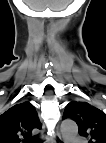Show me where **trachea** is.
<instances>
[{
	"instance_id": "3493384b",
	"label": "trachea",
	"mask_w": 106,
	"mask_h": 143,
	"mask_svg": "<svg viewBox=\"0 0 106 143\" xmlns=\"http://www.w3.org/2000/svg\"><path fill=\"white\" fill-rule=\"evenodd\" d=\"M26 141L29 143H37L38 140L35 137L26 138Z\"/></svg>"
}]
</instances>
